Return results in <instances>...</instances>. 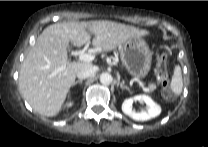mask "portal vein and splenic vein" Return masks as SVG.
Masks as SVG:
<instances>
[{
  "label": "portal vein and splenic vein",
  "instance_id": "1",
  "mask_svg": "<svg viewBox=\"0 0 208 147\" xmlns=\"http://www.w3.org/2000/svg\"><path fill=\"white\" fill-rule=\"evenodd\" d=\"M95 59V55L90 53H79V60L83 62H92ZM145 91H149V89L144 88Z\"/></svg>",
  "mask_w": 208,
  "mask_h": 147
}]
</instances>
